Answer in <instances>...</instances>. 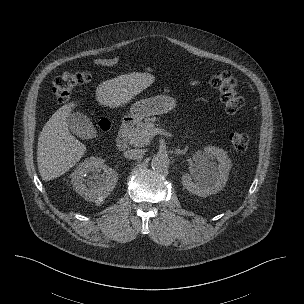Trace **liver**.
<instances>
[{"label":"liver","mask_w":304,"mask_h":304,"mask_svg":"<svg viewBox=\"0 0 304 304\" xmlns=\"http://www.w3.org/2000/svg\"><path fill=\"white\" fill-rule=\"evenodd\" d=\"M155 81L149 73L134 72L120 75L100 84L96 89V101L100 105L117 108L128 103L134 96ZM72 102L59 108L46 122L38 137L37 163L42 180L55 179L80 161L86 146L69 131L67 119Z\"/></svg>","instance_id":"6515ba94"}]
</instances>
